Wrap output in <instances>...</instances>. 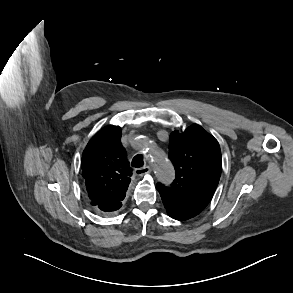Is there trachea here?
Masks as SVG:
<instances>
[{"label": "trachea", "mask_w": 293, "mask_h": 293, "mask_svg": "<svg viewBox=\"0 0 293 293\" xmlns=\"http://www.w3.org/2000/svg\"><path fill=\"white\" fill-rule=\"evenodd\" d=\"M144 165L143 156L138 154L132 160V166L135 168H140Z\"/></svg>", "instance_id": "1"}]
</instances>
